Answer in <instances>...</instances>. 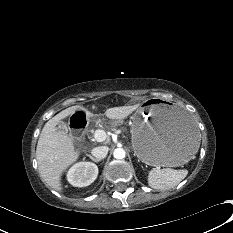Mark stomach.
<instances>
[{
    "instance_id": "stomach-1",
    "label": "stomach",
    "mask_w": 233,
    "mask_h": 233,
    "mask_svg": "<svg viewBox=\"0 0 233 233\" xmlns=\"http://www.w3.org/2000/svg\"><path fill=\"white\" fill-rule=\"evenodd\" d=\"M132 147L151 166H179L198 151L200 132L178 104L152 99L132 115Z\"/></svg>"
}]
</instances>
